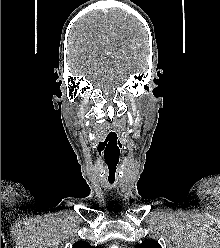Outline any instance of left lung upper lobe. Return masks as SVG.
Returning <instances> with one entry per match:
<instances>
[{
    "label": "left lung upper lobe",
    "instance_id": "1",
    "mask_svg": "<svg viewBox=\"0 0 220 248\" xmlns=\"http://www.w3.org/2000/svg\"><path fill=\"white\" fill-rule=\"evenodd\" d=\"M136 248H162L158 242L154 240H147L141 244H137Z\"/></svg>",
    "mask_w": 220,
    "mask_h": 248
}]
</instances>
